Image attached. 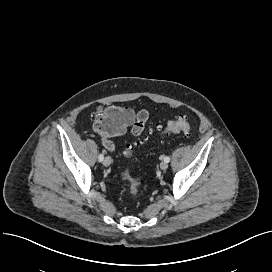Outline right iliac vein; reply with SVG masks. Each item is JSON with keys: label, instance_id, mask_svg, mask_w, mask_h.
<instances>
[{"label": "right iliac vein", "instance_id": "63e3f726", "mask_svg": "<svg viewBox=\"0 0 272 272\" xmlns=\"http://www.w3.org/2000/svg\"><path fill=\"white\" fill-rule=\"evenodd\" d=\"M110 164H111V158L109 156L105 157V159L103 161V165L107 167Z\"/></svg>", "mask_w": 272, "mask_h": 272}]
</instances>
